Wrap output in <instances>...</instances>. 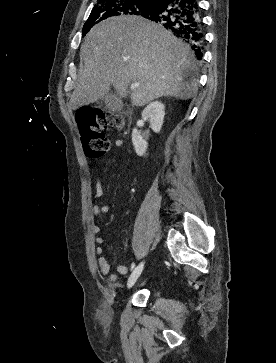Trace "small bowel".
<instances>
[{"label":"small bowel","instance_id":"c3829d8e","mask_svg":"<svg viewBox=\"0 0 276 363\" xmlns=\"http://www.w3.org/2000/svg\"><path fill=\"white\" fill-rule=\"evenodd\" d=\"M115 147L121 148L123 147V141L122 140H116L114 142ZM126 162L127 165L130 166L132 162V156L129 152L126 153ZM104 190L103 185L99 179L96 180L95 184V198L101 199L103 196ZM109 211V205L108 204H94L91 206V214L94 218H98L101 215L107 213ZM92 232L94 235V241L97 244V247L95 249V253L97 255V264L100 268L101 273L107 278L108 282L110 284H114L118 280L119 275H127L130 271L129 267L126 265H118L116 267V272H111L110 265L108 263V260L104 256V248L102 247V244L104 243V237L101 234V228L99 225L94 224L92 226Z\"/></svg>","mask_w":276,"mask_h":363}]
</instances>
